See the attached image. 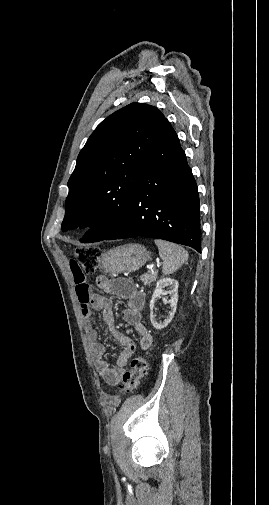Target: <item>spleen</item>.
<instances>
[{"mask_svg": "<svg viewBox=\"0 0 269 505\" xmlns=\"http://www.w3.org/2000/svg\"><path fill=\"white\" fill-rule=\"evenodd\" d=\"M154 242L163 260V274L169 275L174 273L188 260V252L182 246L161 239H155Z\"/></svg>", "mask_w": 269, "mask_h": 505, "instance_id": "obj_1", "label": "spleen"}]
</instances>
